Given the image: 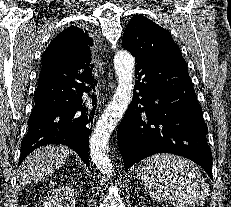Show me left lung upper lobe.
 <instances>
[{
  "mask_svg": "<svg viewBox=\"0 0 231 207\" xmlns=\"http://www.w3.org/2000/svg\"><path fill=\"white\" fill-rule=\"evenodd\" d=\"M122 46L135 58L144 56L171 65L186 64L171 34L141 15L133 16L127 24Z\"/></svg>",
  "mask_w": 231,
  "mask_h": 207,
  "instance_id": "left-lung-upper-lobe-1",
  "label": "left lung upper lobe"
}]
</instances>
